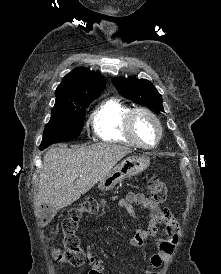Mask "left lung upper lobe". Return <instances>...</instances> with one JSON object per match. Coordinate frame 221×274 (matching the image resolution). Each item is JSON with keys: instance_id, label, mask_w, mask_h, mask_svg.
Segmentation results:
<instances>
[{"instance_id": "left-lung-upper-lobe-1", "label": "left lung upper lobe", "mask_w": 221, "mask_h": 274, "mask_svg": "<svg viewBox=\"0 0 221 274\" xmlns=\"http://www.w3.org/2000/svg\"><path fill=\"white\" fill-rule=\"evenodd\" d=\"M112 82L119 93L137 104L154 110L156 113L164 112L162 96L154 85L146 79L115 77Z\"/></svg>"}]
</instances>
